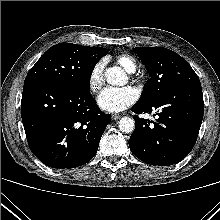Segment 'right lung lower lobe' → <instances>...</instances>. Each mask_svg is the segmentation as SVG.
Returning <instances> with one entry per match:
<instances>
[{
  "instance_id": "right-lung-lower-lobe-1",
  "label": "right lung lower lobe",
  "mask_w": 220,
  "mask_h": 220,
  "mask_svg": "<svg viewBox=\"0 0 220 220\" xmlns=\"http://www.w3.org/2000/svg\"><path fill=\"white\" fill-rule=\"evenodd\" d=\"M21 116L32 153L53 168L90 161L111 115L99 110L89 88L66 83L24 84Z\"/></svg>"
}]
</instances>
